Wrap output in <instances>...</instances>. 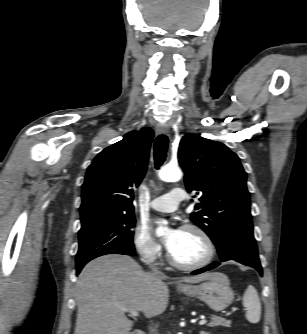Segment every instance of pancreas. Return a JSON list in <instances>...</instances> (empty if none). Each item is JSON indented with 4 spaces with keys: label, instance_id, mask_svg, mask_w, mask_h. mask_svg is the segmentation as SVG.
I'll list each match as a JSON object with an SVG mask.
<instances>
[{
    "label": "pancreas",
    "instance_id": "pancreas-1",
    "mask_svg": "<svg viewBox=\"0 0 307 334\" xmlns=\"http://www.w3.org/2000/svg\"><path fill=\"white\" fill-rule=\"evenodd\" d=\"M210 327H216V326H224V327H230L231 326V321L226 320L222 317L219 316H213L211 318V322L208 324Z\"/></svg>",
    "mask_w": 307,
    "mask_h": 334
}]
</instances>
